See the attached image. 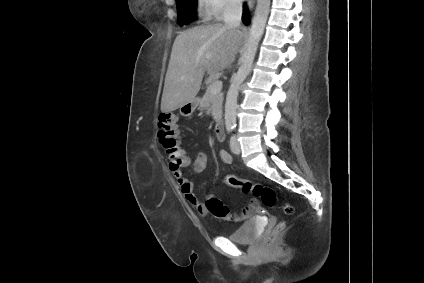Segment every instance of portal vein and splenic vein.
Returning a JSON list of instances; mask_svg holds the SVG:
<instances>
[{"instance_id": "1", "label": "portal vein and splenic vein", "mask_w": 424, "mask_h": 283, "mask_svg": "<svg viewBox=\"0 0 424 283\" xmlns=\"http://www.w3.org/2000/svg\"><path fill=\"white\" fill-rule=\"evenodd\" d=\"M222 81L219 79H216L211 85H210V90L212 94H217L221 91L222 89Z\"/></svg>"}]
</instances>
